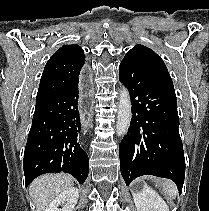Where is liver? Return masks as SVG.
<instances>
[{
  "mask_svg": "<svg viewBox=\"0 0 209 211\" xmlns=\"http://www.w3.org/2000/svg\"><path fill=\"white\" fill-rule=\"evenodd\" d=\"M74 178L65 173L46 174L36 178L29 186L30 196L36 211H45L59 194L72 187Z\"/></svg>",
  "mask_w": 209,
  "mask_h": 211,
  "instance_id": "liver-1",
  "label": "liver"
}]
</instances>
